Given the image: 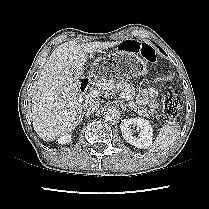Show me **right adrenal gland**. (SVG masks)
I'll return each instance as SVG.
<instances>
[{"instance_id":"obj_1","label":"right adrenal gland","mask_w":209,"mask_h":209,"mask_svg":"<svg viewBox=\"0 0 209 209\" xmlns=\"http://www.w3.org/2000/svg\"><path fill=\"white\" fill-rule=\"evenodd\" d=\"M84 116H85V117H89L90 114H87V113L84 114V113H82V115H81V121H82V118H83Z\"/></svg>"}]
</instances>
